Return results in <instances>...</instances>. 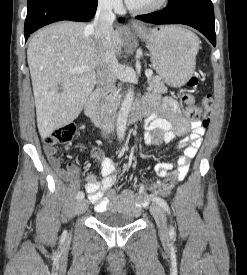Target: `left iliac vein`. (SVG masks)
Segmentation results:
<instances>
[{
	"label": "left iliac vein",
	"mask_w": 247,
	"mask_h": 275,
	"mask_svg": "<svg viewBox=\"0 0 247 275\" xmlns=\"http://www.w3.org/2000/svg\"><path fill=\"white\" fill-rule=\"evenodd\" d=\"M150 212L157 223L160 237L162 239H167L168 238L167 219L163 209L161 208L160 205H158L157 203H154L150 207Z\"/></svg>",
	"instance_id": "left-iliac-vein-1"
}]
</instances>
